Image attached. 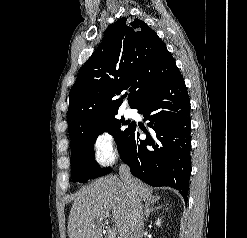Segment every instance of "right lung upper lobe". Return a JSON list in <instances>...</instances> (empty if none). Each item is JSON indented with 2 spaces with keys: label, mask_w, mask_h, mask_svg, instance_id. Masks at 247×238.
<instances>
[{
  "label": "right lung upper lobe",
  "mask_w": 247,
  "mask_h": 238,
  "mask_svg": "<svg viewBox=\"0 0 247 238\" xmlns=\"http://www.w3.org/2000/svg\"><path fill=\"white\" fill-rule=\"evenodd\" d=\"M177 68L165 43L146 23L120 18L110 25L98 49L80 69L69 94L71 146L90 128L118 114L129 88L131 108L160 87Z\"/></svg>",
  "instance_id": "right-lung-upper-lobe-1"
}]
</instances>
